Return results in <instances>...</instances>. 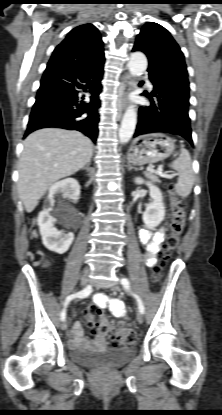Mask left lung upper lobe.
I'll return each instance as SVG.
<instances>
[{
  "instance_id": "1",
  "label": "left lung upper lobe",
  "mask_w": 222,
  "mask_h": 415,
  "mask_svg": "<svg viewBox=\"0 0 222 415\" xmlns=\"http://www.w3.org/2000/svg\"><path fill=\"white\" fill-rule=\"evenodd\" d=\"M134 48L147 55L149 66L161 62L186 66L184 55L176 41L164 27L157 23L148 22L143 26Z\"/></svg>"
}]
</instances>
